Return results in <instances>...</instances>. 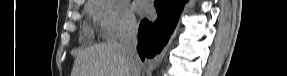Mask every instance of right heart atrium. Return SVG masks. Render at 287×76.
Segmentation results:
<instances>
[{"label": "right heart atrium", "instance_id": "d8ad5b80", "mask_svg": "<svg viewBox=\"0 0 287 76\" xmlns=\"http://www.w3.org/2000/svg\"><path fill=\"white\" fill-rule=\"evenodd\" d=\"M91 13L105 39L118 40L133 34L137 29L133 11L122 0H95Z\"/></svg>", "mask_w": 287, "mask_h": 76}]
</instances>
